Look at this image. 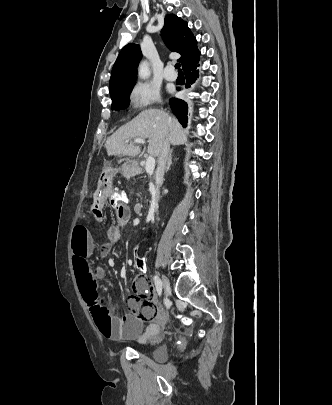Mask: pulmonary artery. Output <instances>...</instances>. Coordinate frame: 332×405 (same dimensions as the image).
Instances as JSON below:
<instances>
[{
  "instance_id": "pulmonary-artery-1",
  "label": "pulmonary artery",
  "mask_w": 332,
  "mask_h": 405,
  "mask_svg": "<svg viewBox=\"0 0 332 405\" xmlns=\"http://www.w3.org/2000/svg\"><path fill=\"white\" fill-rule=\"evenodd\" d=\"M163 77L168 81H175L177 79V74L171 65L165 67Z\"/></svg>"
}]
</instances>
